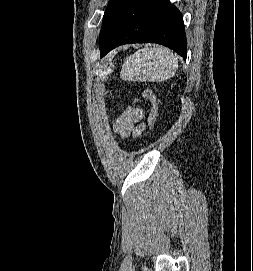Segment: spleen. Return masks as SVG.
I'll return each instance as SVG.
<instances>
[{"label":"spleen","mask_w":253,"mask_h":271,"mask_svg":"<svg viewBox=\"0 0 253 271\" xmlns=\"http://www.w3.org/2000/svg\"><path fill=\"white\" fill-rule=\"evenodd\" d=\"M178 68V57L164 47H146L127 57L120 78L125 81L163 82Z\"/></svg>","instance_id":"obj_1"}]
</instances>
